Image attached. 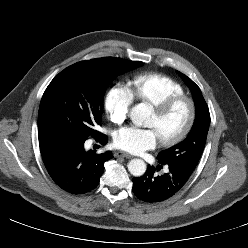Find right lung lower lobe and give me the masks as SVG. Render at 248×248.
<instances>
[{"label": "right lung lower lobe", "instance_id": "98d812e1", "mask_svg": "<svg viewBox=\"0 0 248 248\" xmlns=\"http://www.w3.org/2000/svg\"><path fill=\"white\" fill-rule=\"evenodd\" d=\"M94 138L102 145L108 140L102 133ZM85 140L66 134L39 137L42 159L49 175L61 189L71 194L93 190L103 174L104 163L113 158L110 151L101 154L85 151Z\"/></svg>", "mask_w": 248, "mask_h": 248}]
</instances>
